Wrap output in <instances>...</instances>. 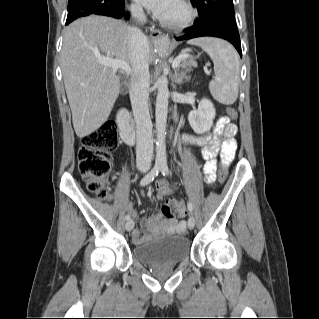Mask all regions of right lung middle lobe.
Masks as SVG:
<instances>
[{
    "mask_svg": "<svg viewBox=\"0 0 319 319\" xmlns=\"http://www.w3.org/2000/svg\"><path fill=\"white\" fill-rule=\"evenodd\" d=\"M122 1L123 0H69L66 24H69L79 17L109 10Z\"/></svg>",
    "mask_w": 319,
    "mask_h": 319,
    "instance_id": "right-lung-middle-lobe-1",
    "label": "right lung middle lobe"
}]
</instances>
